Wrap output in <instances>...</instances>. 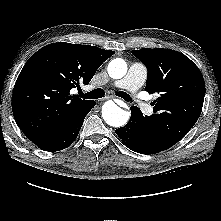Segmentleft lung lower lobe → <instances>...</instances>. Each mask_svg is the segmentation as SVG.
I'll return each mask as SVG.
<instances>
[{"instance_id": "obj_1", "label": "left lung lower lobe", "mask_w": 221, "mask_h": 221, "mask_svg": "<svg viewBox=\"0 0 221 221\" xmlns=\"http://www.w3.org/2000/svg\"><path fill=\"white\" fill-rule=\"evenodd\" d=\"M116 134L132 151L141 154H153L168 148L164 147L146 125L145 117L136 106L131 107V118L129 122L121 128L116 129Z\"/></svg>"}]
</instances>
